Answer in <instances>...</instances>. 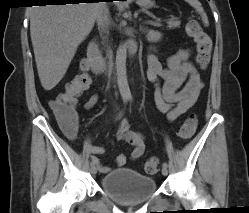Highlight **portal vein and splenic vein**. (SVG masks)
<instances>
[{
  "instance_id": "1",
  "label": "portal vein and splenic vein",
  "mask_w": 249,
  "mask_h": 213,
  "mask_svg": "<svg viewBox=\"0 0 249 213\" xmlns=\"http://www.w3.org/2000/svg\"><path fill=\"white\" fill-rule=\"evenodd\" d=\"M148 23H149V24H152V25H156V23L153 22L152 20H148Z\"/></svg>"
}]
</instances>
